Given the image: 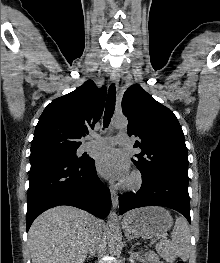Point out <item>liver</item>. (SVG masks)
I'll list each match as a JSON object with an SVG mask.
<instances>
[{
  "mask_svg": "<svg viewBox=\"0 0 220 263\" xmlns=\"http://www.w3.org/2000/svg\"><path fill=\"white\" fill-rule=\"evenodd\" d=\"M103 222L71 206L43 212L29 229L32 263H83L90 249L91 230Z\"/></svg>",
  "mask_w": 220,
  "mask_h": 263,
  "instance_id": "liver-1",
  "label": "liver"
}]
</instances>
